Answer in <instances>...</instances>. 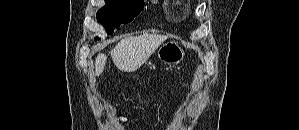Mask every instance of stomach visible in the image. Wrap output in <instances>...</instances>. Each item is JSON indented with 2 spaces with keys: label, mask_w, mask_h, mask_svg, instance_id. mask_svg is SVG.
<instances>
[{
  "label": "stomach",
  "mask_w": 299,
  "mask_h": 130,
  "mask_svg": "<svg viewBox=\"0 0 299 130\" xmlns=\"http://www.w3.org/2000/svg\"><path fill=\"white\" fill-rule=\"evenodd\" d=\"M185 56L184 50L175 41L163 44L158 50V58L165 64H178Z\"/></svg>",
  "instance_id": "obj_1"
}]
</instances>
